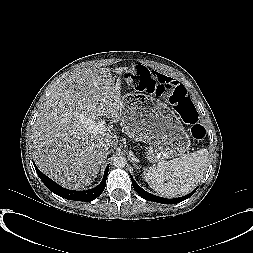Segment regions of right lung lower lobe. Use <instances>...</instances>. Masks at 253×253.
Instances as JSON below:
<instances>
[{
	"label": "right lung lower lobe",
	"mask_w": 253,
	"mask_h": 253,
	"mask_svg": "<svg viewBox=\"0 0 253 253\" xmlns=\"http://www.w3.org/2000/svg\"><path fill=\"white\" fill-rule=\"evenodd\" d=\"M34 167L40 179L47 186V188L51 190L53 193L69 200L86 201V202L96 199L104 191L105 186H106L108 170H109V165H108L105 169L103 179L97 187L86 190V191H73V190H68L59 186L57 183H55L50 178H48L45 174H43L35 166V164H34Z\"/></svg>",
	"instance_id": "1"
}]
</instances>
